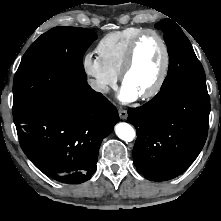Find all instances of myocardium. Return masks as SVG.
Wrapping results in <instances>:
<instances>
[{
  "label": "myocardium",
  "mask_w": 221,
  "mask_h": 221,
  "mask_svg": "<svg viewBox=\"0 0 221 221\" xmlns=\"http://www.w3.org/2000/svg\"><path fill=\"white\" fill-rule=\"evenodd\" d=\"M149 35L154 36L160 42L162 50H163V62H162L159 76H158L157 80L155 81L154 85L148 91L139 95L140 98H142V99H150V98L156 96L160 92V90L162 89V87L165 83V80L167 78L169 65H170V52H169L168 45H167L165 39L163 38V36L159 32L152 30V29H145L142 32H140L131 41V43L127 49V52H126L122 68L119 73L120 81H121L122 85H124L125 77L134 64L136 50L138 48V45L144 37L149 36Z\"/></svg>",
  "instance_id": "1"
}]
</instances>
